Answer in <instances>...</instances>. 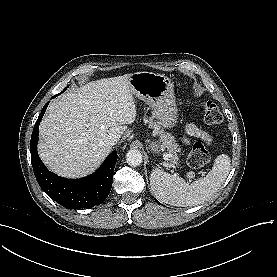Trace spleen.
<instances>
[{
  "mask_svg": "<svg viewBox=\"0 0 277 277\" xmlns=\"http://www.w3.org/2000/svg\"><path fill=\"white\" fill-rule=\"evenodd\" d=\"M231 169L230 157L217 156L211 171L188 184L177 174H169L160 168L152 170L150 185L158 199L175 206H194L212 197L226 180Z\"/></svg>",
  "mask_w": 277,
  "mask_h": 277,
  "instance_id": "obj_1",
  "label": "spleen"
}]
</instances>
